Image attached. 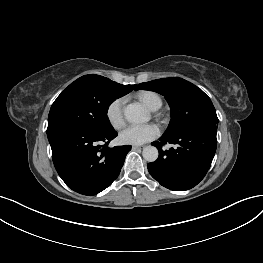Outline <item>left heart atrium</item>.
I'll return each mask as SVG.
<instances>
[{
    "mask_svg": "<svg viewBox=\"0 0 263 263\" xmlns=\"http://www.w3.org/2000/svg\"><path fill=\"white\" fill-rule=\"evenodd\" d=\"M160 129L155 124L129 125L119 135L120 141L128 145H141L157 138Z\"/></svg>",
    "mask_w": 263,
    "mask_h": 263,
    "instance_id": "left-heart-atrium-1",
    "label": "left heart atrium"
}]
</instances>
